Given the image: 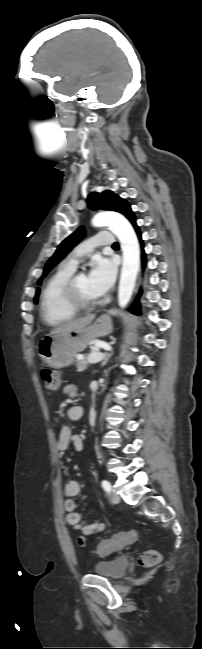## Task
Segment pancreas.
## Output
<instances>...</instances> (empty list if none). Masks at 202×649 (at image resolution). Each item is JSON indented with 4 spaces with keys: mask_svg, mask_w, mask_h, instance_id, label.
<instances>
[{
    "mask_svg": "<svg viewBox=\"0 0 202 649\" xmlns=\"http://www.w3.org/2000/svg\"><path fill=\"white\" fill-rule=\"evenodd\" d=\"M92 352H96L97 354H102L98 349L93 348ZM89 365L88 360H78L76 363L77 371L82 372L87 369Z\"/></svg>",
    "mask_w": 202,
    "mask_h": 649,
    "instance_id": "obj_1",
    "label": "pancreas"
}]
</instances>
